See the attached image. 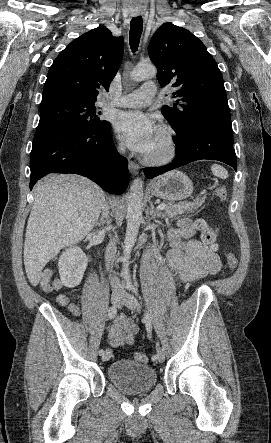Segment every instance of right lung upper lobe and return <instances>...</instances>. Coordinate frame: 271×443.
<instances>
[{
  "label": "right lung upper lobe",
  "mask_w": 271,
  "mask_h": 443,
  "mask_svg": "<svg viewBox=\"0 0 271 443\" xmlns=\"http://www.w3.org/2000/svg\"><path fill=\"white\" fill-rule=\"evenodd\" d=\"M123 49V38L114 37L104 26L73 40L50 67L41 103L56 99L94 103L100 90L108 91Z\"/></svg>",
  "instance_id": "1"
}]
</instances>
